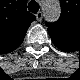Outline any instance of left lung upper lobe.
<instances>
[{"label": "left lung upper lobe", "mask_w": 80, "mask_h": 80, "mask_svg": "<svg viewBox=\"0 0 80 80\" xmlns=\"http://www.w3.org/2000/svg\"><path fill=\"white\" fill-rule=\"evenodd\" d=\"M62 14L60 19L54 24H48V32L51 39L55 38L58 42H61L68 46L73 38L80 37V19L74 16L68 3L61 0Z\"/></svg>", "instance_id": "left-lung-upper-lobe-1"}]
</instances>
